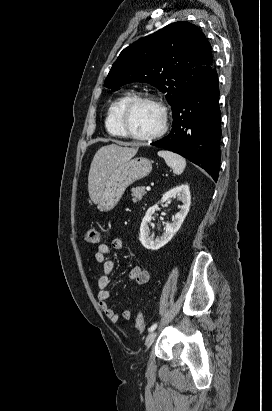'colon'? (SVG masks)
<instances>
[{
    "label": "colon",
    "mask_w": 272,
    "mask_h": 411,
    "mask_svg": "<svg viewBox=\"0 0 272 411\" xmlns=\"http://www.w3.org/2000/svg\"><path fill=\"white\" fill-rule=\"evenodd\" d=\"M85 240L87 243L95 244L100 240V231L96 227L90 228L85 235ZM145 321L143 317V313L139 312L136 318V329L139 332H143L145 330Z\"/></svg>",
    "instance_id": "colon-1"
}]
</instances>
